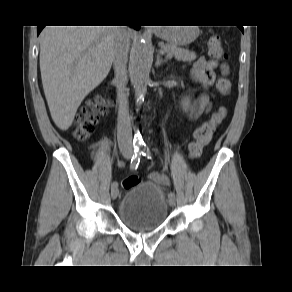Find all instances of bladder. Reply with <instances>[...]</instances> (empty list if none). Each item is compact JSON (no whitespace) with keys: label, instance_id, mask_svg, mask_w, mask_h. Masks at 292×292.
<instances>
[{"label":"bladder","instance_id":"bladder-1","mask_svg":"<svg viewBox=\"0 0 292 292\" xmlns=\"http://www.w3.org/2000/svg\"><path fill=\"white\" fill-rule=\"evenodd\" d=\"M168 211L164 192L155 182L128 188L118 205L120 221L135 232L158 229L166 221Z\"/></svg>","mask_w":292,"mask_h":292}]
</instances>
